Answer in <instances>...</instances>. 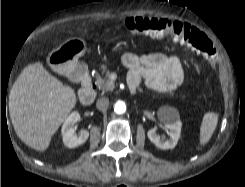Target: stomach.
Segmentation results:
<instances>
[{
  "label": "stomach",
  "mask_w": 245,
  "mask_h": 187,
  "mask_svg": "<svg viewBox=\"0 0 245 187\" xmlns=\"http://www.w3.org/2000/svg\"><path fill=\"white\" fill-rule=\"evenodd\" d=\"M110 42L106 43V47ZM86 43L79 38H72L65 41L54 49L47 57V64L50 68L59 73L70 72L78 63V59L85 53Z\"/></svg>",
  "instance_id": "0dacf381"
}]
</instances>
